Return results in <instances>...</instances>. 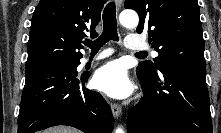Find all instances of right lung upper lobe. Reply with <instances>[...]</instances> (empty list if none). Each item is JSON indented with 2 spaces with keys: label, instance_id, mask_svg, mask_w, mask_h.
<instances>
[{
  "label": "right lung upper lobe",
  "instance_id": "obj_1",
  "mask_svg": "<svg viewBox=\"0 0 221 133\" xmlns=\"http://www.w3.org/2000/svg\"><path fill=\"white\" fill-rule=\"evenodd\" d=\"M106 0H40L29 34L26 69L79 62L85 32L97 36L96 25Z\"/></svg>",
  "mask_w": 221,
  "mask_h": 133
}]
</instances>
